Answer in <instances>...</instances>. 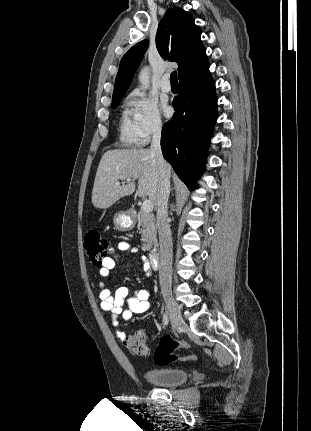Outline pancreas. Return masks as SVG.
<instances>
[{
  "label": "pancreas",
  "mask_w": 311,
  "mask_h": 431,
  "mask_svg": "<svg viewBox=\"0 0 311 431\" xmlns=\"http://www.w3.org/2000/svg\"><path fill=\"white\" fill-rule=\"evenodd\" d=\"M138 225H140L143 247L144 249H151L152 245L157 243V223H155L154 214H148L140 208L137 217Z\"/></svg>",
  "instance_id": "obj_1"
}]
</instances>
